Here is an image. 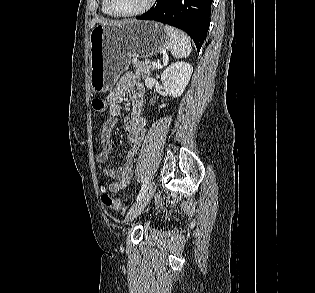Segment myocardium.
<instances>
[{"instance_id": "1", "label": "myocardium", "mask_w": 315, "mask_h": 293, "mask_svg": "<svg viewBox=\"0 0 315 293\" xmlns=\"http://www.w3.org/2000/svg\"><path fill=\"white\" fill-rule=\"evenodd\" d=\"M155 1L156 0H148L145 6L133 12H122L118 10L115 6L114 0H107V5L109 10L117 17H135L148 12L153 7Z\"/></svg>"}]
</instances>
